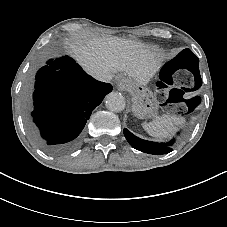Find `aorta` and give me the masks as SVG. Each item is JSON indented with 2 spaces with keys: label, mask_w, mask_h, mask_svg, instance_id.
I'll return each instance as SVG.
<instances>
[{
  "label": "aorta",
  "mask_w": 227,
  "mask_h": 227,
  "mask_svg": "<svg viewBox=\"0 0 227 227\" xmlns=\"http://www.w3.org/2000/svg\"><path fill=\"white\" fill-rule=\"evenodd\" d=\"M105 103L106 108L112 112H121L125 108V98L118 92L109 93Z\"/></svg>",
  "instance_id": "762f6f07"
}]
</instances>
